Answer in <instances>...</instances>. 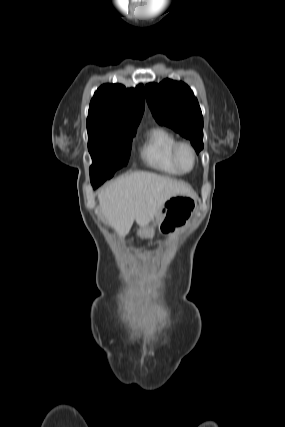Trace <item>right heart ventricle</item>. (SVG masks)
<instances>
[{
  "mask_svg": "<svg viewBox=\"0 0 285 427\" xmlns=\"http://www.w3.org/2000/svg\"><path fill=\"white\" fill-rule=\"evenodd\" d=\"M177 137L164 127L149 130L140 149V157L149 168L167 175H180L173 165L171 151Z\"/></svg>",
  "mask_w": 285,
  "mask_h": 427,
  "instance_id": "obj_1",
  "label": "right heart ventricle"
}]
</instances>
